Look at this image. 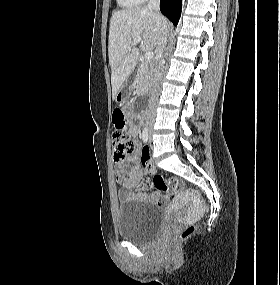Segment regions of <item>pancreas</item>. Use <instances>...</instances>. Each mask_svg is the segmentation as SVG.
I'll use <instances>...</instances> for the list:
<instances>
[{"label": "pancreas", "instance_id": "pancreas-1", "mask_svg": "<svg viewBox=\"0 0 280 285\" xmlns=\"http://www.w3.org/2000/svg\"><path fill=\"white\" fill-rule=\"evenodd\" d=\"M153 77V65L144 61L141 63L136 77V92L143 94L151 87Z\"/></svg>", "mask_w": 280, "mask_h": 285}]
</instances>
